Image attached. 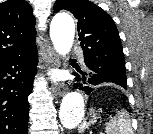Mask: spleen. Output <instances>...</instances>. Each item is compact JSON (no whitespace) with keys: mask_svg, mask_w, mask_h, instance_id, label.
Returning <instances> with one entry per match:
<instances>
[{"mask_svg":"<svg viewBox=\"0 0 153 134\" xmlns=\"http://www.w3.org/2000/svg\"><path fill=\"white\" fill-rule=\"evenodd\" d=\"M86 129V124L83 123L79 127V132ZM106 134H133L131 120L125 109L119 110L116 115L106 123Z\"/></svg>","mask_w":153,"mask_h":134,"instance_id":"obj_1","label":"spleen"}]
</instances>
